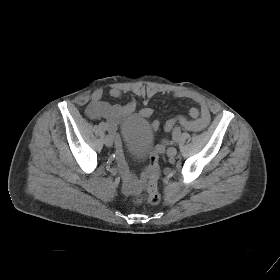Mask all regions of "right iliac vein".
<instances>
[{"mask_svg":"<svg viewBox=\"0 0 280 280\" xmlns=\"http://www.w3.org/2000/svg\"><path fill=\"white\" fill-rule=\"evenodd\" d=\"M114 139L111 135H107L104 139V143L106 146L110 147L113 145Z\"/></svg>","mask_w":280,"mask_h":280,"instance_id":"obj_1","label":"right iliac vein"}]
</instances>
